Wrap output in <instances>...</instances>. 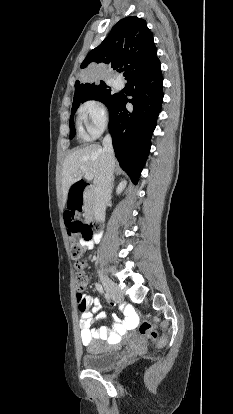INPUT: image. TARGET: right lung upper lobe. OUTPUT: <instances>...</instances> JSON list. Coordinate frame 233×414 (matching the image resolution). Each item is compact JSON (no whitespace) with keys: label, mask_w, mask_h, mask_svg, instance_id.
I'll return each mask as SVG.
<instances>
[{"label":"right lung upper lobe","mask_w":233,"mask_h":414,"mask_svg":"<svg viewBox=\"0 0 233 414\" xmlns=\"http://www.w3.org/2000/svg\"><path fill=\"white\" fill-rule=\"evenodd\" d=\"M157 49L153 34L146 21L131 16L120 20L114 25L110 34L95 49L90 51L81 64L83 75L90 77L94 67L99 63L107 64L113 69L124 67L126 80L155 71L160 67L156 56ZM104 81L75 83L74 99Z\"/></svg>","instance_id":"obj_1"}]
</instances>
